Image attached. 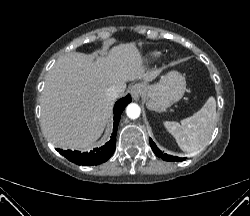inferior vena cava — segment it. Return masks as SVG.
I'll return each instance as SVG.
<instances>
[{"label": "inferior vena cava", "mask_w": 250, "mask_h": 216, "mask_svg": "<svg viewBox=\"0 0 250 216\" xmlns=\"http://www.w3.org/2000/svg\"><path fill=\"white\" fill-rule=\"evenodd\" d=\"M122 91L117 87H109L107 89V95L113 99L118 98L121 95Z\"/></svg>", "instance_id": "obj_1"}]
</instances>
